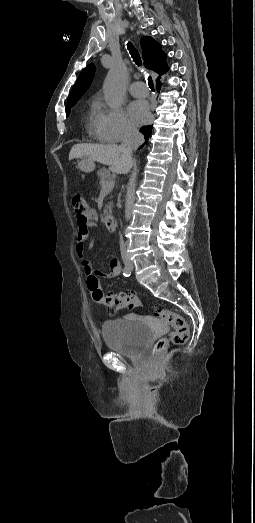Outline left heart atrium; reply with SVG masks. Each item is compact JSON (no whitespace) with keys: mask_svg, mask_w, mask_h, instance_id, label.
Here are the masks:
<instances>
[{"mask_svg":"<svg viewBox=\"0 0 255 523\" xmlns=\"http://www.w3.org/2000/svg\"><path fill=\"white\" fill-rule=\"evenodd\" d=\"M131 119L136 123H142L147 120L149 116V107L146 101L136 100L129 108Z\"/></svg>","mask_w":255,"mask_h":523,"instance_id":"1","label":"left heart atrium"}]
</instances>
